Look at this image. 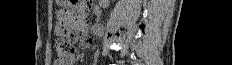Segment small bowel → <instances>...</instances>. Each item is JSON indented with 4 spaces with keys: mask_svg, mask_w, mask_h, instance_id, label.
Listing matches in <instances>:
<instances>
[{
    "mask_svg": "<svg viewBox=\"0 0 232 65\" xmlns=\"http://www.w3.org/2000/svg\"><path fill=\"white\" fill-rule=\"evenodd\" d=\"M57 16L56 37H65V40H70V42H73L75 38H82L81 44L83 46L91 44L88 33H80V27L74 26V23H71V17H81V12H58ZM74 63L75 55L71 54L63 60H57L54 65H73Z\"/></svg>",
    "mask_w": 232,
    "mask_h": 65,
    "instance_id": "c3829d8e",
    "label": "small bowel"
}]
</instances>
